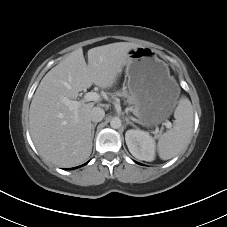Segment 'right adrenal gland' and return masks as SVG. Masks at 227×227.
Masks as SVG:
<instances>
[{
    "mask_svg": "<svg viewBox=\"0 0 227 227\" xmlns=\"http://www.w3.org/2000/svg\"><path fill=\"white\" fill-rule=\"evenodd\" d=\"M96 125H97V122H96V123H94V124H92V139H93V137H94L95 127H96Z\"/></svg>",
    "mask_w": 227,
    "mask_h": 227,
    "instance_id": "right-adrenal-gland-1",
    "label": "right adrenal gland"
}]
</instances>
